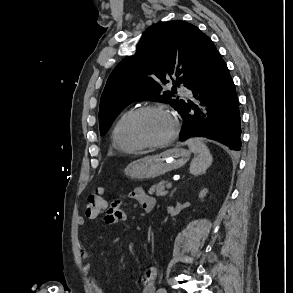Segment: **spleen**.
<instances>
[{
    "label": "spleen",
    "instance_id": "obj_1",
    "mask_svg": "<svg viewBox=\"0 0 293 293\" xmlns=\"http://www.w3.org/2000/svg\"><path fill=\"white\" fill-rule=\"evenodd\" d=\"M187 144L190 151L196 155L191 161L190 173L193 175L204 173L213 161V157L210 154L209 149L200 138H191L187 141Z\"/></svg>",
    "mask_w": 293,
    "mask_h": 293
}]
</instances>
